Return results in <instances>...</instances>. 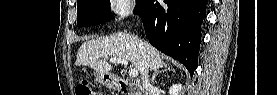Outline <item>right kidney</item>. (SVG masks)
<instances>
[{
  "mask_svg": "<svg viewBox=\"0 0 277 95\" xmlns=\"http://www.w3.org/2000/svg\"><path fill=\"white\" fill-rule=\"evenodd\" d=\"M181 89H182L181 85H173L170 88L169 92L171 95H177L181 91Z\"/></svg>",
  "mask_w": 277,
  "mask_h": 95,
  "instance_id": "1",
  "label": "right kidney"
}]
</instances>
